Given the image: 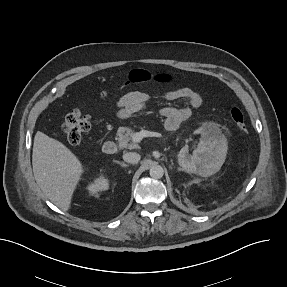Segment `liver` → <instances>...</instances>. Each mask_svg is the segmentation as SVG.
Here are the masks:
<instances>
[{
	"label": "liver",
	"mask_w": 287,
	"mask_h": 287,
	"mask_svg": "<svg viewBox=\"0 0 287 287\" xmlns=\"http://www.w3.org/2000/svg\"><path fill=\"white\" fill-rule=\"evenodd\" d=\"M33 173L44 195L68 211L84 172L81 161L62 142L38 131L34 137Z\"/></svg>",
	"instance_id": "1"
}]
</instances>
